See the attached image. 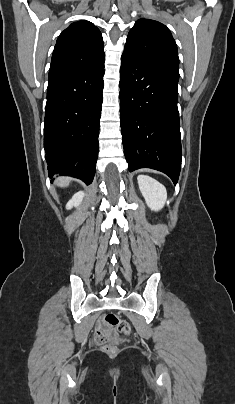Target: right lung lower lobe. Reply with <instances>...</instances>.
I'll list each match as a JSON object with an SVG mask.
<instances>
[{
  "label": "right lung lower lobe",
  "instance_id": "right-lung-lower-lobe-1",
  "mask_svg": "<svg viewBox=\"0 0 235 404\" xmlns=\"http://www.w3.org/2000/svg\"><path fill=\"white\" fill-rule=\"evenodd\" d=\"M104 60L49 72L44 148L49 177L90 184L98 156Z\"/></svg>",
  "mask_w": 235,
  "mask_h": 404
}]
</instances>
